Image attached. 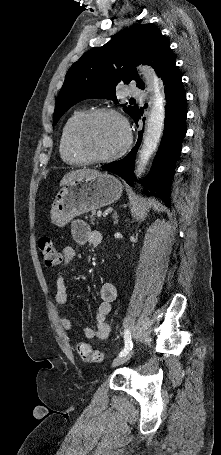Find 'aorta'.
Returning a JSON list of instances; mask_svg holds the SVG:
<instances>
[{"mask_svg": "<svg viewBox=\"0 0 221 455\" xmlns=\"http://www.w3.org/2000/svg\"><path fill=\"white\" fill-rule=\"evenodd\" d=\"M139 72L143 76L147 90L151 93V109L146 121L143 142L136 160L134 173L138 178L144 173L151 156L158 147L165 120V100L160 89L159 80L155 77L152 68L149 66L141 67Z\"/></svg>", "mask_w": 221, "mask_h": 455, "instance_id": "1", "label": "aorta"}]
</instances>
